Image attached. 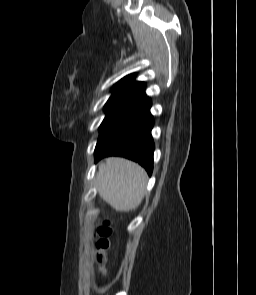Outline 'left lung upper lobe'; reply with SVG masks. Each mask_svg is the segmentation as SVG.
I'll return each instance as SVG.
<instances>
[{
	"instance_id": "left-lung-upper-lobe-1",
	"label": "left lung upper lobe",
	"mask_w": 256,
	"mask_h": 295,
	"mask_svg": "<svg viewBox=\"0 0 256 295\" xmlns=\"http://www.w3.org/2000/svg\"><path fill=\"white\" fill-rule=\"evenodd\" d=\"M134 79V73L127 75L113 87V94L104 106L106 116L99 128V139L151 102L144 92L145 83Z\"/></svg>"
}]
</instances>
